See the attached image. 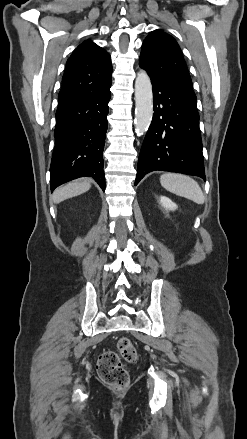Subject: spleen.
<instances>
[{"instance_id":"spleen-1","label":"spleen","mask_w":247,"mask_h":439,"mask_svg":"<svg viewBox=\"0 0 247 439\" xmlns=\"http://www.w3.org/2000/svg\"><path fill=\"white\" fill-rule=\"evenodd\" d=\"M161 185L168 191L185 197L197 204L204 203V195L199 184L189 176L165 173L160 177Z\"/></svg>"}]
</instances>
